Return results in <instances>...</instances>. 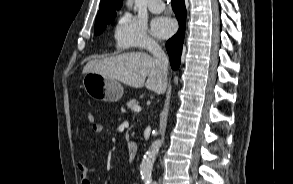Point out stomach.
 I'll return each instance as SVG.
<instances>
[{
	"label": "stomach",
	"instance_id": "obj_1",
	"mask_svg": "<svg viewBox=\"0 0 293 184\" xmlns=\"http://www.w3.org/2000/svg\"><path fill=\"white\" fill-rule=\"evenodd\" d=\"M83 87L91 98L104 102H117L124 93L118 80L95 72L84 75Z\"/></svg>",
	"mask_w": 293,
	"mask_h": 184
}]
</instances>
